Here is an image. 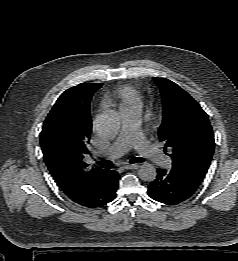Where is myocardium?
Returning a JSON list of instances; mask_svg holds the SVG:
<instances>
[{"label":"myocardium","mask_w":238,"mask_h":261,"mask_svg":"<svg viewBox=\"0 0 238 261\" xmlns=\"http://www.w3.org/2000/svg\"><path fill=\"white\" fill-rule=\"evenodd\" d=\"M154 109H155L156 112H157V110H158V104H155V105H154Z\"/></svg>","instance_id":"myocardium-1"}]
</instances>
